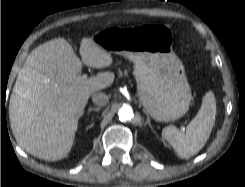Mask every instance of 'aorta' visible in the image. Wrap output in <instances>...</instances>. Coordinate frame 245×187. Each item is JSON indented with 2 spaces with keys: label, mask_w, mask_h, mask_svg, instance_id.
Instances as JSON below:
<instances>
[{
  "label": "aorta",
  "mask_w": 245,
  "mask_h": 187,
  "mask_svg": "<svg viewBox=\"0 0 245 187\" xmlns=\"http://www.w3.org/2000/svg\"><path fill=\"white\" fill-rule=\"evenodd\" d=\"M118 115H119V119L121 121H129V120H131L133 118L132 108L129 107V106H123L119 110Z\"/></svg>",
  "instance_id": "aorta-1"
}]
</instances>
